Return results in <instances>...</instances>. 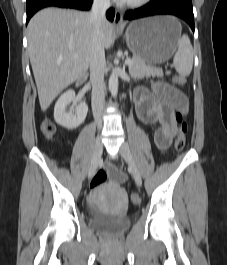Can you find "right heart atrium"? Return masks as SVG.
Returning a JSON list of instances; mask_svg holds the SVG:
<instances>
[{"label":"right heart atrium","instance_id":"obj_1","mask_svg":"<svg viewBox=\"0 0 227 265\" xmlns=\"http://www.w3.org/2000/svg\"><path fill=\"white\" fill-rule=\"evenodd\" d=\"M100 1L106 3V2H108L109 0H100Z\"/></svg>","mask_w":227,"mask_h":265}]
</instances>
